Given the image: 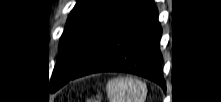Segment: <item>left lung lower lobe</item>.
Here are the masks:
<instances>
[{
	"label": "left lung lower lobe",
	"mask_w": 221,
	"mask_h": 102,
	"mask_svg": "<svg viewBox=\"0 0 221 102\" xmlns=\"http://www.w3.org/2000/svg\"><path fill=\"white\" fill-rule=\"evenodd\" d=\"M161 35L162 27L153 1L138 0L70 80L97 72H127L154 81L165 89L159 48Z\"/></svg>",
	"instance_id": "obj_1"
}]
</instances>
